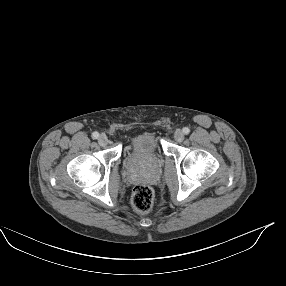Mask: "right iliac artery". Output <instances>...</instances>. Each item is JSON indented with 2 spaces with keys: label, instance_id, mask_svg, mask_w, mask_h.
<instances>
[{
  "label": "right iliac artery",
  "instance_id": "obj_1",
  "mask_svg": "<svg viewBox=\"0 0 286 286\" xmlns=\"http://www.w3.org/2000/svg\"><path fill=\"white\" fill-rule=\"evenodd\" d=\"M99 137V133L98 132H93L92 133V138L97 139Z\"/></svg>",
  "mask_w": 286,
  "mask_h": 286
}]
</instances>
